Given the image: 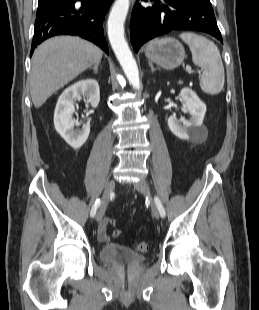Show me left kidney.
Returning a JSON list of instances; mask_svg holds the SVG:
<instances>
[{"label":"left kidney","mask_w":259,"mask_h":310,"mask_svg":"<svg viewBox=\"0 0 259 310\" xmlns=\"http://www.w3.org/2000/svg\"><path fill=\"white\" fill-rule=\"evenodd\" d=\"M184 106L190 113V119L184 117L177 119L176 115L168 118V126L171 132L180 139L190 140L198 136L199 128L203 123L206 113V105L190 88H183L180 92Z\"/></svg>","instance_id":"left-kidney-1"}]
</instances>
